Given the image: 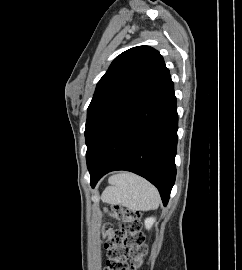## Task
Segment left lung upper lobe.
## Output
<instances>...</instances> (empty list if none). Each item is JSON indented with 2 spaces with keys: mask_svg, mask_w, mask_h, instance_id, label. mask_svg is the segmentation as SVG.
I'll return each mask as SVG.
<instances>
[{
  "mask_svg": "<svg viewBox=\"0 0 242 270\" xmlns=\"http://www.w3.org/2000/svg\"><path fill=\"white\" fill-rule=\"evenodd\" d=\"M168 73L163 57L149 46L133 47L114 59L98 82L87 110V167L117 122L141 103Z\"/></svg>",
  "mask_w": 242,
  "mask_h": 270,
  "instance_id": "1",
  "label": "left lung upper lobe"
}]
</instances>
